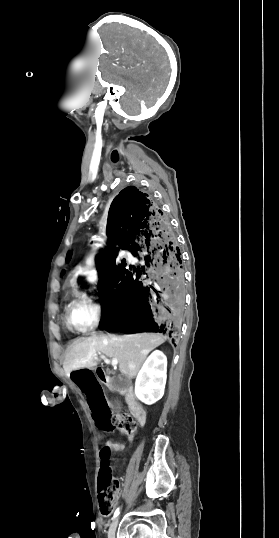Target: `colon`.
I'll return each mask as SVG.
<instances>
[{"mask_svg":"<svg viewBox=\"0 0 279 538\" xmlns=\"http://www.w3.org/2000/svg\"><path fill=\"white\" fill-rule=\"evenodd\" d=\"M111 429L127 438H133L136 433V423L129 414L116 415L111 419ZM112 450L108 443L100 446V471L98 478L99 505L103 516L111 515L118 496V481L112 476L109 463Z\"/></svg>","mask_w":279,"mask_h":538,"instance_id":"obj_1","label":"colon"}]
</instances>
